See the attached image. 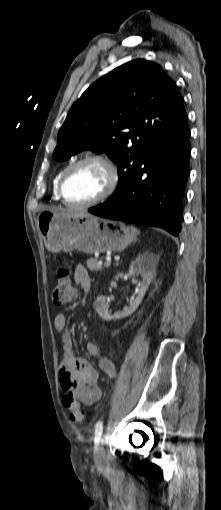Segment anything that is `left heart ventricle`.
Returning a JSON list of instances; mask_svg holds the SVG:
<instances>
[{
  "mask_svg": "<svg viewBox=\"0 0 221 510\" xmlns=\"http://www.w3.org/2000/svg\"><path fill=\"white\" fill-rule=\"evenodd\" d=\"M107 180V172L100 164L89 162L79 165L66 178L65 197L74 203L92 200L103 191Z\"/></svg>",
  "mask_w": 221,
  "mask_h": 510,
  "instance_id": "1",
  "label": "left heart ventricle"
}]
</instances>
